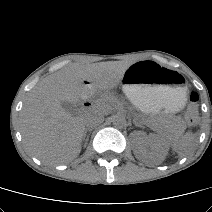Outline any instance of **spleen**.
I'll list each match as a JSON object with an SVG mask.
<instances>
[{
  "mask_svg": "<svg viewBox=\"0 0 212 212\" xmlns=\"http://www.w3.org/2000/svg\"><path fill=\"white\" fill-rule=\"evenodd\" d=\"M194 134L187 133L184 136L176 137L172 140V148L174 151L182 153L185 152L192 144Z\"/></svg>",
  "mask_w": 212,
  "mask_h": 212,
  "instance_id": "spleen-1",
  "label": "spleen"
}]
</instances>
